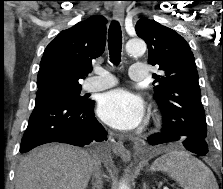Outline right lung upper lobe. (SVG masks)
Returning <instances> with one entry per match:
<instances>
[{
	"mask_svg": "<svg viewBox=\"0 0 223 189\" xmlns=\"http://www.w3.org/2000/svg\"><path fill=\"white\" fill-rule=\"evenodd\" d=\"M106 19L91 16L61 31L44 51L37 76V92L81 87L78 80L92 71L106 42Z\"/></svg>",
	"mask_w": 223,
	"mask_h": 189,
	"instance_id": "obj_1",
	"label": "right lung upper lobe"
}]
</instances>
